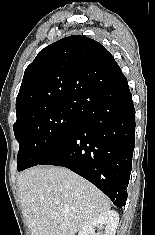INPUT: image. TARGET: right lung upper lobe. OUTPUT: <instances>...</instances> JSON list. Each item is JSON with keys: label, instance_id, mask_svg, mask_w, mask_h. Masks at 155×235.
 <instances>
[{"label": "right lung upper lobe", "instance_id": "cb5924a9", "mask_svg": "<svg viewBox=\"0 0 155 235\" xmlns=\"http://www.w3.org/2000/svg\"><path fill=\"white\" fill-rule=\"evenodd\" d=\"M123 74L113 56L85 36L63 38L42 49L26 68L16 116L45 105L77 107L98 85Z\"/></svg>", "mask_w": 155, "mask_h": 235}]
</instances>
